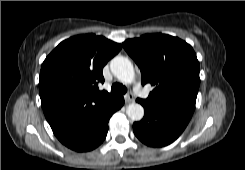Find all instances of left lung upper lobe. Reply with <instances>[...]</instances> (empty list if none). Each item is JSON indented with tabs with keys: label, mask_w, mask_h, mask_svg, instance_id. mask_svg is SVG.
I'll return each mask as SVG.
<instances>
[{
	"label": "left lung upper lobe",
	"mask_w": 245,
	"mask_h": 170,
	"mask_svg": "<svg viewBox=\"0 0 245 170\" xmlns=\"http://www.w3.org/2000/svg\"><path fill=\"white\" fill-rule=\"evenodd\" d=\"M122 45L139 66L142 84L154 87L147 99L139 101L191 118L200 84L193 48L165 34H146Z\"/></svg>",
	"instance_id": "5c2ea615"
}]
</instances>
